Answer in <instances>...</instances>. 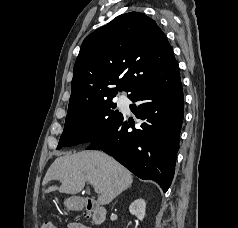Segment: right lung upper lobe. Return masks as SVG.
<instances>
[{
  "label": "right lung upper lobe",
  "mask_w": 238,
  "mask_h": 228,
  "mask_svg": "<svg viewBox=\"0 0 238 228\" xmlns=\"http://www.w3.org/2000/svg\"><path fill=\"white\" fill-rule=\"evenodd\" d=\"M178 76L173 50L157 23L142 13L122 14L83 41L68 112L112 100L122 90L131 98Z\"/></svg>",
  "instance_id": "cb5924a9"
}]
</instances>
